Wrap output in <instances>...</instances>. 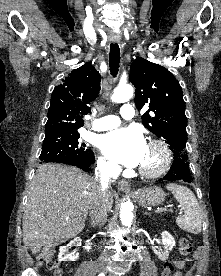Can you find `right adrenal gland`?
<instances>
[{
  "label": "right adrenal gland",
  "instance_id": "2a0ac1e0",
  "mask_svg": "<svg viewBox=\"0 0 221 276\" xmlns=\"http://www.w3.org/2000/svg\"><path fill=\"white\" fill-rule=\"evenodd\" d=\"M91 226H92V227H95L96 225H95V224H93V223L91 222Z\"/></svg>",
  "mask_w": 221,
  "mask_h": 276
}]
</instances>
